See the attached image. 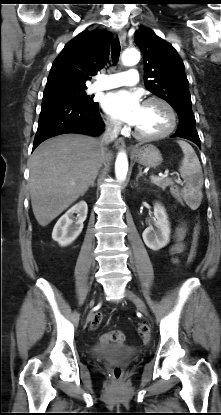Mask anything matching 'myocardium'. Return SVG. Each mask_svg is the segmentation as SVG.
<instances>
[{"instance_id": "myocardium-1", "label": "myocardium", "mask_w": 221, "mask_h": 415, "mask_svg": "<svg viewBox=\"0 0 221 415\" xmlns=\"http://www.w3.org/2000/svg\"><path fill=\"white\" fill-rule=\"evenodd\" d=\"M153 102L160 103L166 108L169 114V119H170L169 125L163 132H160L157 134H144V133L139 132L136 128H134L133 134L135 135V137L139 139L148 140V141L163 139L169 136L171 133H173V131L176 129L177 114H176L174 107L167 100L161 97H156V96L147 98L144 101V104L153 103Z\"/></svg>"}]
</instances>
